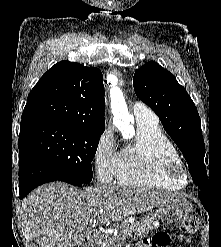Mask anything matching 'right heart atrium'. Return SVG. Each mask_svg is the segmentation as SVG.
<instances>
[{
  "instance_id": "obj_1",
  "label": "right heart atrium",
  "mask_w": 221,
  "mask_h": 247,
  "mask_svg": "<svg viewBox=\"0 0 221 247\" xmlns=\"http://www.w3.org/2000/svg\"><path fill=\"white\" fill-rule=\"evenodd\" d=\"M117 157L112 131L107 129L98 139L93 154L95 171L101 182L108 183L115 176Z\"/></svg>"
}]
</instances>
